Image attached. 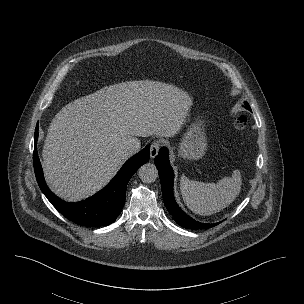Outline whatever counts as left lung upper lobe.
<instances>
[{
    "label": "left lung upper lobe",
    "mask_w": 304,
    "mask_h": 304,
    "mask_svg": "<svg viewBox=\"0 0 304 304\" xmlns=\"http://www.w3.org/2000/svg\"><path fill=\"white\" fill-rule=\"evenodd\" d=\"M244 104H245L244 107H245L247 110L251 111V108H250L249 104H248L247 102H245Z\"/></svg>",
    "instance_id": "obj_1"
}]
</instances>
